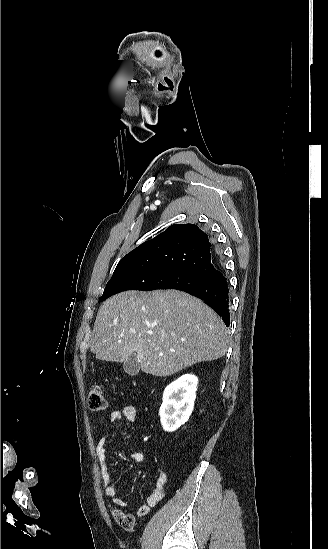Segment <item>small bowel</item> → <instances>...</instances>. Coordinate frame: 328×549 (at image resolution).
Instances as JSON below:
<instances>
[{"label":"small bowel","mask_w":328,"mask_h":549,"mask_svg":"<svg viewBox=\"0 0 328 549\" xmlns=\"http://www.w3.org/2000/svg\"><path fill=\"white\" fill-rule=\"evenodd\" d=\"M137 418V410L132 405L124 406L121 409L113 411L109 416V422L115 424L122 421L134 423ZM106 438L100 440L96 447V456L100 466V474L102 484L105 489L106 495L110 498L111 503L115 506H124L125 502L118 495L116 487L112 484L110 475V466L108 456L106 452ZM131 458L134 461L141 462L145 459V453L143 451H134L131 453ZM167 482V474L161 471L155 480V486L152 493L147 497L146 503L142 505L138 513L145 515L148 513L150 507L157 505L164 497V486Z\"/></svg>","instance_id":"1"}]
</instances>
